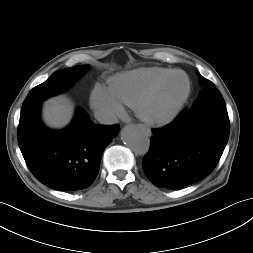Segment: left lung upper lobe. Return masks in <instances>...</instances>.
Listing matches in <instances>:
<instances>
[{"label": "left lung upper lobe", "mask_w": 253, "mask_h": 253, "mask_svg": "<svg viewBox=\"0 0 253 253\" xmlns=\"http://www.w3.org/2000/svg\"><path fill=\"white\" fill-rule=\"evenodd\" d=\"M198 76L202 80V89L192 107L187 111L198 114L212 108L226 107L221 93L214 87V84L211 81L204 79L200 74H198Z\"/></svg>", "instance_id": "5c2ea615"}]
</instances>
